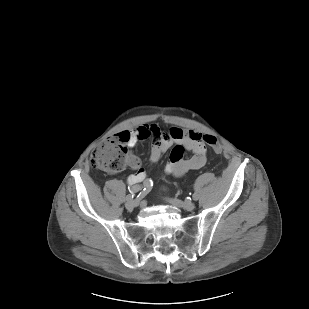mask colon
I'll return each mask as SVG.
<instances>
[{"label":"colon","instance_id":"1","mask_svg":"<svg viewBox=\"0 0 309 309\" xmlns=\"http://www.w3.org/2000/svg\"><path fill=\"white\" fill-rule=\"evenodd\" d=\"M202 140L210 146L216 153L222 151L221 145L212 135H203ZM126 140L120 136H114L103 141L91 154L89 158L90 165L95 169L107 172H119L127 164Z\"/></svg>","mask_w":309,"mask_h":309}]
</instances>
